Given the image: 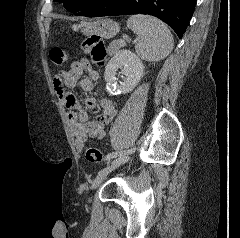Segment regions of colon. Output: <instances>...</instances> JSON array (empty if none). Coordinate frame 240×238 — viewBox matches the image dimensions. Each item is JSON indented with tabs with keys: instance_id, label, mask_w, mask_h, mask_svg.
<instances>
[{
	"instance_id": "obj_1",
	"label": "colon",
	"mask_w": 240,
	"mask_h": 238,
	"mask_svg": "<svg viewBox=\"0 0 240 238\" xmlns=\"http://www.w3.org/2000/svg\"><path fill=\"white\" fill-rule=\"evenodd\" d=\"M83 53L90 55L92 61L101 66L104 64L107 51L104 42L99 37H89L83 40L81 44ZM49 58L53 64L60 65L70 58V54L65 50L54 47L49 52ZM85 157L93 163H101L104 156L100 150L95 147H88L85 152Z\"/></svg>"
}]
</instances>
